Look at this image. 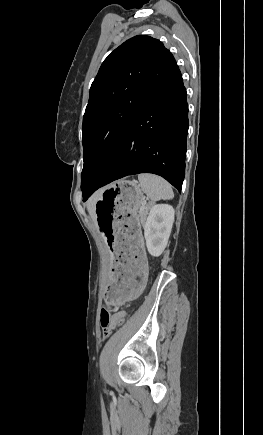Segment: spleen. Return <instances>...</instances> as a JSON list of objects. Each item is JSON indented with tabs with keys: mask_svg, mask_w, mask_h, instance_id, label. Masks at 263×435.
Returning <instances> with one entry per match:
<instances>
[{
	"mask_svg": "<svg viewBox=\"0 0 263 435\" xmlns=\"http://www.w3.org/2000/svg\"><path fill=\"white\" fill-rule=\"evenodd\" d=\"M142 191L153 201L170 200L174 197L171 185L162 177L154 174H139Z\"/></svg>",
	"mask_w": 263,
	"mask_h": 435,
	"instance_id": "1",
	"label": "spleen"
}]
</instances>
